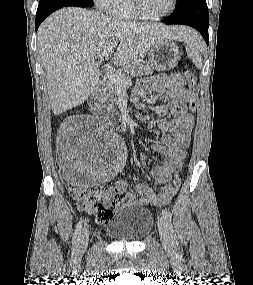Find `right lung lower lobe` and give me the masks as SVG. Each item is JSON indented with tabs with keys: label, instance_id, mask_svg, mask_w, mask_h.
I'll return each mask as SVG.
<instances>
[{
	"label": "right lung lower lobe",
	"instance_id": "right-lung-lower-lobe-1",
	"mask_svg": "<svg viewBox=\"0 0 253 285\" xmlns=\"http://www.w3.org/2000/svg\"><path fill=\"white\" fill-rule=\"evenodd\" d=\"M67 6H76V7H88L87 5L78 4V3H65V2H57V1H46L39 4L37 13H36V31L42 21L50 15L52 12L60 9L62 7Z\"/></svg>",
	"mask_w": 253,
	"mask_h": 285
}]
</instances>
